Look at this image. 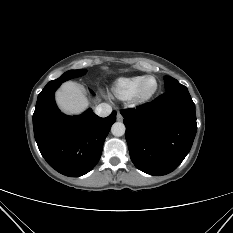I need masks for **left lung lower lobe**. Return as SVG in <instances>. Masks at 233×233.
<instances>
[{"instance_id": "left-lung-lower-lobe-1", "label": "left lung lower lobe", "mask_w": 233, "mask_h": 233, "mask_svg": "<svg viewBox=\"0 0 233 233\" xmlns=\"http://www.w3.org/2000/svg\"><path fill=\"white\" fill-rule=\"evenodd\" d=\"M121 114L130 157L139 170L154 176L168 174L190 151L197 124L186 87L166 91L153 102Z\"/></svg>"}]
</instances>
